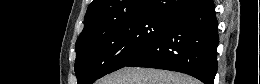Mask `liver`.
<instances>
[{"instance_id":"obj_1","label":"liver","mask_w":260,"mask_h":84,"mask_svg":"<svg viewBox=\"0 0 260 84\" xmlns=\"http://www.w3.org/2000/svg\"><path fill=\"white\" fill-rule=\"evenodd\" d=\"M97 84H199V81L178 72L124 67L103 77Z\"/></svg>"}]
</instances>
